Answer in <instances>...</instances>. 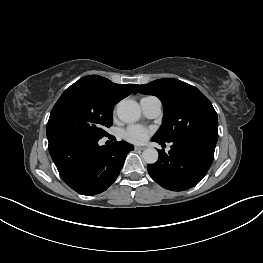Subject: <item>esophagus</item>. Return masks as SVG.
<instances>
[{
	"mask_svg": "<svg viewBox=\"0 0 263 263\" xmlns=\"http://www.w3.org/2000/svg\"><path fill=\"white\" fill-rule=\"evenodd\" d=\"M146 148L145 147H141V146H135V150H145Z\"/></svg>",
	"mask_w": 263,
	"mask_h": 263,
	"instance_id": "34e87169",
	"label": "esophagus"
}]
</instances>
